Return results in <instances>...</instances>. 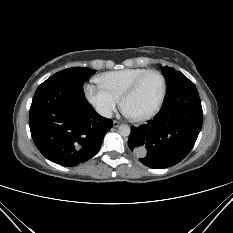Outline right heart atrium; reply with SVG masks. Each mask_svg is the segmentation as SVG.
<instances>
[{
  "mask_svg": "<svg viewBox=\"0 0 233 233\" xmlns=\"http://www.w3.org/2000/svg\"><path fill=\"white\" fill-rule=\"evenodd\" d=\"M86 97L94 109L103 117H110L119 99L101 85L89 84L85 88Z\"/></svg>",
  "mask_w": 233,
  "mask_h": 233,
  "instance_id": "1",
  "label": "right heart atrium"
}]
</instances>
